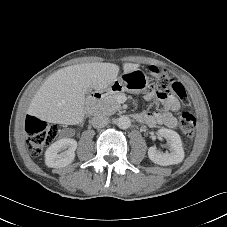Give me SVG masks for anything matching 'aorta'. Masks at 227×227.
Here are the masks:
<instances>
[{"instance_id": "obj_1", "label": "aorta", "mask_w": 227, "mask_h": 227, "mask_svg": "<svg viewBox=\"0 0 227 227\" xmlns=\"http://www.w3.org/2000/svg\"><path fill=\"white\" fill-rule=\"evenodd\" d=\"M130 125H131V120L128 116L123 115L117 119V126L120 129H127L130 127Z\"/></svg>"}]
</instances>
